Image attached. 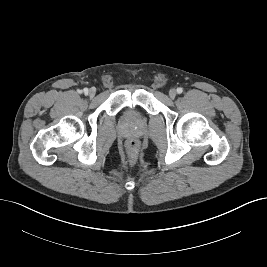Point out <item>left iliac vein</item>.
<instances>
[{
    "label": "left iliac vein",
    "mask_w": 267,
    "mask_h": 267,
    "mask_svg": "<svg viewBox=\"0 0 267 267\" xmlns=\"http://www.w3.org/2000/svg\"><path fill=\"white\" fill-rule=\"evenodd\" d=\"M177 91L175 89H171L169 91L170 98L174 99L176 97Z\"/></svg>",
    "instance_id": "1"
}]
</instances>
